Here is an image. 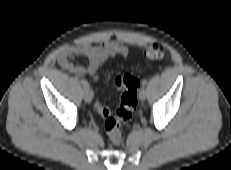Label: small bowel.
<instances>
[{"instance_id":"obj_1","label":"small bowel","mask_w":231,"mask_h":170,"mask_svg":"<svg viewBox=\"0 0 231 170\" xmlns=\"http://www.w3.org/2000/svg\"><path fill=\"white\" fill-rule=\"evenodd\" d=\"M128 48L115 40H106L97 45L80 43L64 47L58 54V64L65 70L76 76L89 75L94 81H98L99 66L108 58L119 55L126 58ZM88 59V65L84 66L75 62L76 58Z\"/></svg>"}]
</instances>
